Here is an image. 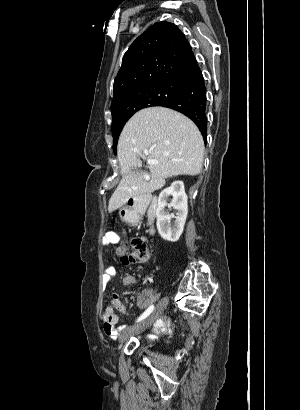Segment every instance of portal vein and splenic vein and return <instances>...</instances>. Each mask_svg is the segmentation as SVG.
Instances as JSON below:
<instances>
[{
    "mask_svg": "<svg viewBox=\"0 0 300 410\" xmlns=\"http://www.w3.org/2000/svg\"><path fill=\"white\" fill-rule=\"evenodd\" d=\"M159 162L157 161V160H155V159H150V160H148V164H150V165H154V164H158Z\"/></svg>",
    "mask_w": 300,
    "mask_h": 410,
    "instance_id": "18ae733b",
    "label": "portal vein and splenic vein"
}]
</instances>
